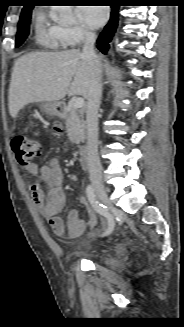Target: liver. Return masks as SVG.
<instances>
[{"mask_svg": "<svg viewBox=\"0 0 184 327\" xmlns=\"http://www.w3.org/2000/svg\"><path fill=\"white\" fill-rule=\"evenodd\" d=\"M91 67L78 49L33 52L19 57L9 87V113L15 118L27 104L58 102L67 94L88 99Z\"/></svg>", "mask_w": 184, "mask_h": 327, "instance_id": "6515ba94", "label": "liver"}]
</instances>
